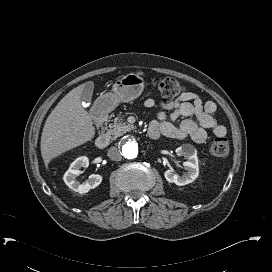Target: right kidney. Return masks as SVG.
<instances>
[{"label": "right kidney", "instance_id": "ca27d5eb", "mask_svg": "<svg viewBox=\"0 0 272 272\" xmlns=\"http://www.w3.org/2000/svg\"><path fill=\"white\" fill-rule=\"evenodd\" d=\"M88 165L89 159L86 156H81L72 162L63 176L65 184L80 194L87 193L90 189L97 187L102 181V176L99 174H91L89 180L82 184L76 180V177L81 174V169L88 167Z\"/></svg>", "mask_w": 272, "mask_h": 272}]
</instances>
